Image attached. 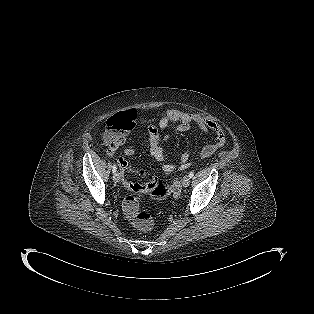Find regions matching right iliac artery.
I'll return each mask as SVG.
<instances>
[{"instance_id": "right-iliac-artery-1", "label": "right iliac artery", "mask_w": 314, "mask_h": 314, "mask_svg": "<svg viewBox=\"0 0 314 314\" xmlns=\"http://www.w3.org/2000/svg\"><path fill=\"white\" fill-rule=\"evenodd\" d=\"M112 171H113V173H115L116 172V170H117V166H116V164H114L113 166H112Z\"/></svg>"}]
</instances>
